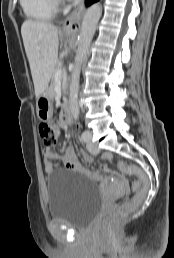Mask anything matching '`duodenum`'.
<instances>
[{
  "mask_svg": "<svg viewBox=\"0 0 174 258\" xmlns=\"http://www.w3.org/2000/svg\"><path fill=\"white\" fill-rule=\"evenodd\" d=\"M60 117H61V120L65 123H68L71 120V108L68 101H65L63 103Z\"/></svg>",
  "mask_w": 174,
  "mask_h": 258,
  "instance_id": "obj_1",
  "label": "duodenum"
}]
</instances>
